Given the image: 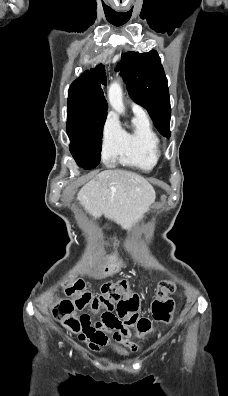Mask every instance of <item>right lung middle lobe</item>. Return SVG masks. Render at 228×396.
<instances>
[{"mask_svg": "<svg viewBox=\"0 0 228 396\" xmlns=\"http://www.w3.org/2000/svg\"><path fill=\"white\" fill-rule=\"evenodd\" d=\"M107 111L83 114L68 106L67 134L71 140L70 151L85 169H92L100 162L103 125Z\"/></svg>", "mask_w": 228, "mask_h": 396, "instance_id": "1", "label": "right lung middle lobe"}]
</instances>
